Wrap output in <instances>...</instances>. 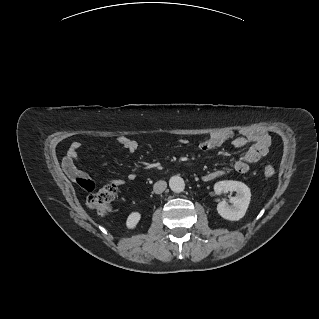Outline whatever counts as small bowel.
I'll list each match as a JSON object with an SVG mask.
<instances>
[{"instance_id":"1","label":"small bowel","mask_w":319,"mask_h":319,"mask_svg":"<svg viewBox=\"0 0 319 319\" xmlns=\"http://www.w3.org/2000/svg\"><path fill=\"white\" fill-rule=\"evenodd\" d=\"M185 143L184 140L181 141ZM226 142H231L234 147L241 148L250 143L243 156L234 162V169L241 173H247L251 165L260 161L268 152L270 137L267 133L262 131H254L242 134H235L231 131L219 132L210 135L207 139L199 144V149L203 152H210L220 147ZM117 143L129 152H135L138 149L136 141L130 139L125 135H120L117 138ZM80 148L79 142H74L70 149V159H76L77 152ZM225 174L222 169H213L205 173L202 177L204 181H213L220 178ZM71 176L78 182L79 179H88L87 175L83 172L73 171ZM134 174H129L128 179L132 180ZM110 184L115 187H121L126 184L122 178L112 179Z\"/></svg>"}]
</instances>
